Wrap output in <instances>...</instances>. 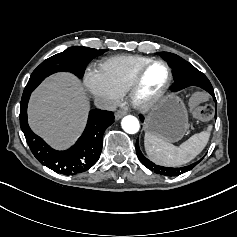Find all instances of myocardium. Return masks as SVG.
<instances>
[{"mask_svg":"<svg viewBox=\"0 0 237 237\" xmlns=\"http://www.w3.org/2000/svg\"><path fill=\"white\" fill-rule=\"evenodd\" d=\"M155 64H160L164 66L167 72L166 80L164 84L161 86V88L158 91H156L154 94L148 97L141 98L140 91L143 85V79H144L145 73L151 66ZM171 81H172V71L168 63L160 59L150 60L139 70V72L135 76L134 80L132 81L127 91L128 98L131 105L137 110L143 111V112L152 109L163 99V97L165 96V94L167 93L170 87Z\"/></svg>","mask_w":237,"mask_h":237,"instance_id":"obj_1","label":"myocardium"}]
</instances>
